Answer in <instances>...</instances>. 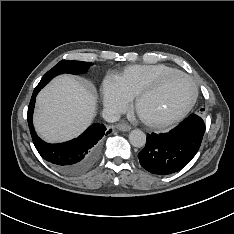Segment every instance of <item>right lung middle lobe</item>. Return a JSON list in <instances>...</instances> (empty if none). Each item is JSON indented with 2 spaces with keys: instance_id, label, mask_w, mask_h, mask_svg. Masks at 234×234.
Masks as SVG:
<instances>
[{
  "instance_id": "1",
  "label": "right lung middle lobe",
  "mask_w": 234,
  "mask_h": 234,
  "mask_svg": "<svg viewBox=\"0 0 234 234\" xmlns=\"http://www.w3.org/2000/svg\"><path fill=\"white\" fill-rule=\"evenodd\" d=\"M91 65L90 62L62 60L43 76L37 87L42 89L52 78L59 74L77 75L85 73Z\"/></svg>"
}]
</instances>
